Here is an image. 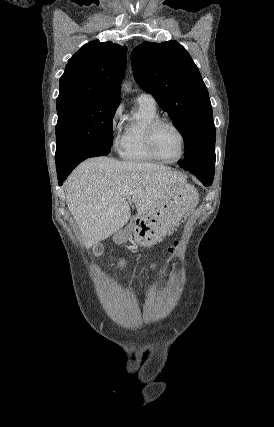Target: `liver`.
Returning a JSON list of instances; mask_svg holds the SVG:
<instances>
[{"label": "liver", "instance_id": "liver-1", "mask_svg": "<svg viewBox=\"0 0 274 427\" xmlns=\"http://www.w3.org/2000/svg\"><path fill=\"white\" fill-rule=\"evenodd\" d=\"M184 184L185 176L159 164L89 158L75 168L63 188L84 245L91 247L130 219V206L123 192H133L130 198L138 214L145 215L161 202H171L177 192L181 194Z\"/></svg>", "mask_w": 274, "mask_h": 427}]
</instances>
